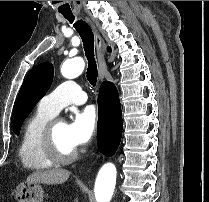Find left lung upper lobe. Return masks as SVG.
Segmentation results:
<instances>
[{"label": "left lung upper lobe", "mask_w": 209, "mask_h": 202, "mask_svg": "<svg viewBox=\"0 0 209 202\" xmlns=\"http://www.w3.org/2000/svg\"><path fill=\"white\" fill-rule=\"evenodd\" d=\"M53 76L54 67L49 62L37 65L26 76L20 88L14 112V131L17 135L25 118L47 93Z\"/></svg>", "instance_id": "obj_1"}]
</instances>
